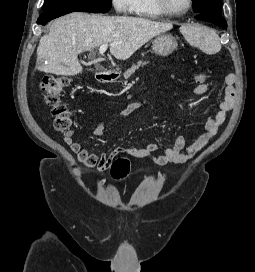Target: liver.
<instances>
[{"instance_id": "liver-1", "label": "liver", "mask_w": 255, "mask_h": 272, "mask_svg": "<svg viewBox=\"0 0 255 272\" xmlns=\"http://www.w3.org/2000/svg\"><path fill=\"white\" fill-rule=\"evenodd\" d=\"M173 28L141 17L89 15L74 12L56 19L37 48L39 71L73 76L82 72L78 54L102 44L119 60L130 58L153 37Z\"/></svg>"}]
</instances>
